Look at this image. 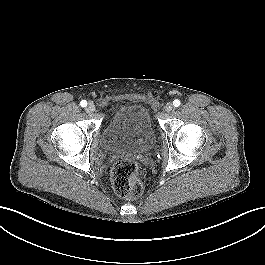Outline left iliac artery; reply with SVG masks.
I'll return each mask as SVG.
<instances>
[{"label":"left iliac artery","instance_id":"obj_1","mask_svg":"<svg viewBox=\"0 0 265 265\" xmlns=\"http://www.w3.org/2000/svg\"><path fill=\"white\" fill-rule=\"evenodd\" d=\"M180 104H181V102H180V100H178V99H176V100L173 101V105H174L175 107L180 106Z\"/></svg>","mask_w":265,"mask_h":265}]
</instances>
